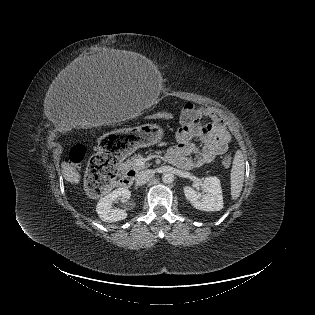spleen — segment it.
Segmentation results:
<instances>
[{"mask_svg":"<svg viewBox=\"0 0 315 315\" xmlns=\"http://www.w3.org/2000/svg\"><path fill=\"white\" fill-rule=\"evenodd\" d=\"M245 162L241 151H237L231 169V196L236 200L242 191L244 182Z\"/></svg>","mask_w":315,"mask_h":315,"instance_id":"obj_1","label":"spleen"}]
</instances>
